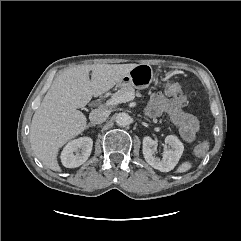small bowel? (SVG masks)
Returning a JSON list of instances; mask_svg holds the SVG:
<instances>
[{"label": "small bowel", "mask_w": 241, "mask_h": 241, "mask_svg": "<svg viewBox=\"0 0 241 241\" xmlns=\"http://www.w3.org/2000/svg\"><path fill=\"white\" fill-rule=\"evenodd\" d=\"M182 106L183 104L178 100L169 99L163 93L158 92L151 96L147 113L153 117L167 114L179 127L181 137L187 142H192L199 128L198 121L192 114L186 112Z\"/></svg>", "instance_id": "1"}]
</instances>
